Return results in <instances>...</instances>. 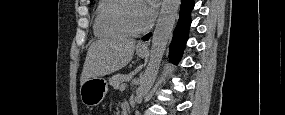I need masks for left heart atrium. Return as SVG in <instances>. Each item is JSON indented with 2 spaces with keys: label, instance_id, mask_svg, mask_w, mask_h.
I'll list each match as a JSON object with an SVG mask.
<instances>
[{
  "label": "left heart atrium",
  "instance_id": "left-heart-atrium-1",
  "mask_svg": "<svg viewBox=\"0 0 285 115\" xmlns=\"http://www.w3.org/2000/svg\"><path fill=\"white\" fill-rule=\"evenodd\" d=\"M140 6L144 25L147 26L153 21L155 16V1H141Z\"/></svg>",
  "mask_w": 285,
  "mask_h": 115
}]
</instances>
